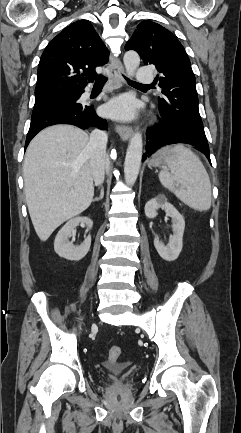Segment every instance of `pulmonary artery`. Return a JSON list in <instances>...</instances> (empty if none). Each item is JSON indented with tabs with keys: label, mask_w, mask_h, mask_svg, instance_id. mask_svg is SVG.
Instances as JSON below:
<instances>
[{
	"label": "pulmonary artery",
	"mask_w": 241,
	"mask_h": 433,
	"mask_svg": "<svg viewBox=\"0 0 241 433\" xmlns=\"http://www.w3.org/2000/svg\"><path fill=\"white\" fill-rule=\"evenodd\" d=\"M137 82L141 84H151L154 81V75L147 67H138L136 70Z\"/></svg>",
	"instance_id": "pulmonary-artery-1"
}]
</instances>
